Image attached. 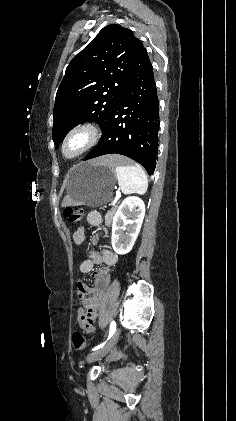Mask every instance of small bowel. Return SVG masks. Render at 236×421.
Returning <instances> with one entry per match:
<instances>
[{"label":"small bowel","mask_w":236,"mask_h":421,"mask_svg":"<svg viewBox=\"0 0 236 421\" xmlns=\"http://www.w3.org/2000/svg\"><path fill=\"white\" fill-rule=\"evenodd\" d=\"M87 221H88L89 224L99 228L101 226V223H102L101 214L99 212L92 211L88 214ZM84 238H85L84 228L81 227L75 232L74 240L77 244H80V243L83 242ZM80 289H82V290H80ZM87 290L88 289L84 284L79 283V285H78V296L80 298H84V295L86 294ZM78 315H79V321L83 320V316H82L83 314L81 313V311L78 312ZM81 324L84 325L85 323H81Z\"/></svg>","instance_id":"1"}]
</instances>
